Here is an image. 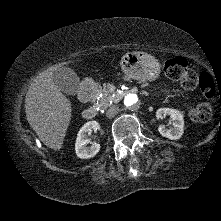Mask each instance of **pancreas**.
I'll list each match as a JSON object with an SVG mask.
<instances>
[{
  "label": "pancreas",
  "mask_w": 221,
  "mask_h": 221,
  "mask_svg": "<svg viewBox=\"0 0 221 221\" xmlns=\"http://www.w3.org/2000/svg\"><path fill=\"white\" fill-rule=\"evenodd\" d=\"M113 91H114V86L112 84L107 83L103 86V89L101 90L102 97L98 102V106L101 109H105L108 106H110L111 102L113 101L112 98Z\"/></svg>",
  "instance_id": "pancreas-1"
}]
</instances>
